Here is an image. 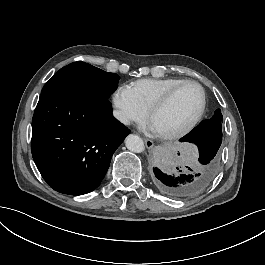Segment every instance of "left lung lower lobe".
Instances as JSON below:
<instances>
[{
  "mask_svg": "<svg viewBox=\"0 0 265 265\" xmlns=\"http://www.w3.org/2000/svg\"><path fill=\"white\" fill-rule=\"evenodd\" d=\"M180 141L197 146L199 156L195 165L187 169H174L171 154L163 152L155 159L150 177L154 187L163 195L189 199L204 192L218 173L222 128L216 127L210 120H204Z\"/></svg>",
  "mask_w": 265,
  "mask_h": 265,
  "instance_id": "1",
  "label": "left lung lower lobe"
}]
</instances>
